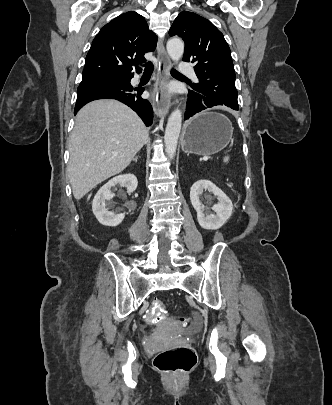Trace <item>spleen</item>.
Listing matches in <instances>:
<instances>
[{"mask_svg":"<svg viewBox=\"0 0 332 405\" xmlns=\"http://www.w3.org/2000/svg\"><path fill=\"white\" fill-rule=\"evenodd\" d=\"M228 160H229V157L226 156V157L224 158V162H228Z\"/></svg>","mask_w":332,"mask_h":405,"instance_id":"obj_1","label":"spleen"}]
</instances>
